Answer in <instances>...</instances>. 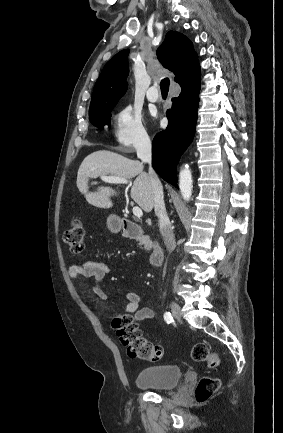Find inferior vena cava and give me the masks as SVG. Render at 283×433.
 <instances>
[{
    "label": "inferior vena cava",
    "mask_w": 283,
    "mask_h": 433,
    "mask_svg": "<svg viewBox=\"0 0 283 433\" xmlns=\"http://www.w3.org/2000/svg\"><path fill=\"white\" fill-rule=\"evenodd\" d=\"M137 156L141 158L143 162H148V176L150 178L151 186L154 194V210L156 217L159 219L161 235L164 239L167 251L172 253L176 247L175 237L171 229V223L168 221L167 212L164 202L163 186L151 166L152 160V146L150 140H143L141 146L137 148Z\"/></svg>",
    "instance_id": "1"
}]
</instances>
